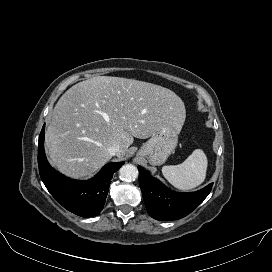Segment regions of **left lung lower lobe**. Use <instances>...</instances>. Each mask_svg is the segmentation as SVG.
Segmentation results:
<instances>
[{
	"instance_id": "obj_1",
	"label": "left lung lower lobe",
	"mask_w": 272,
	"mask_h": 272,
	"mask_svg": "<svg viewBox=\"0 0 272 272\" xmlns=\"http://www.w3.org/2000/svg\"><path fill=\"white\" fill-rule=\"evenodd\" d=\"M139 185L149 215L161 221L183 218L199 206L212 189V183L205 188L192 192L180 193L166 188L160 181L151 177L138 166Z\"/></svg>"
}]
</instances>
